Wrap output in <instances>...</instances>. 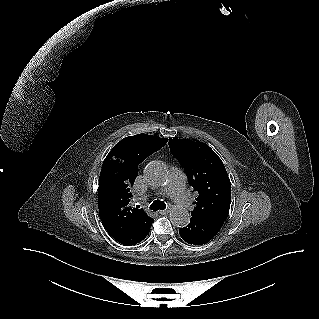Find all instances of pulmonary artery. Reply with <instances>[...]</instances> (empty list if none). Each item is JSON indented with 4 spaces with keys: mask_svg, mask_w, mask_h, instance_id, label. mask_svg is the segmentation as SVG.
I'll return each instance as SVG.
<instances>
[{
    "mask_svg": "<svg viewBox=\"0 0 319 319\" xmlns=\"http://www.w3.org/2000/svg\"><path fill=\"white\" fill-rule=\"evenodd\" d=\"M182 208H188L191 201L184 190V177L179 171H174L167 187L163 190Z\"/></svg>",
    "mask_w": 319,
    "mask_h": 319,
    "instance_id": "e3ab8cb5",
    "label": "pulmonary artery"
}]
</instances>
